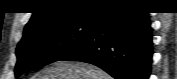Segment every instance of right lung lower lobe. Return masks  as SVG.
Segmentation results:
<instances>
[{"label": "right lung lower lobe", "mask_w": 177, "mask_h": 79, "mask_svg": "<svg viewBox=\"0 0 177 79\" xmlns=\"http://www.w3.org/2000/svg\"><path fill=\"white\" fill-rule=\"evenodd\" d=\"M150 24L147 11L107 8L87 39L60 60L94 64L115 79H148L153 54Z\"/></svg>", "instance_id": "right-lung-lower-lobe-1"}]
</instances>
